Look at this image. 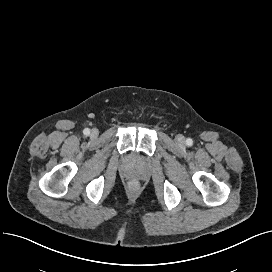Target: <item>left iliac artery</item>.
Segmentation results:
<instances>
[{
    "instance_id": "left-iliac-artery-1",
    "label": "left iliac artery",
    "mask_w": 272,
    "mask_h": 272,
    "mask_svg": "<svg viewBox=\"0 0 272 272\" xmlns=\"http://www.w3.org/2000/svg\"><path fill=\"white\" fill-rule=\"evenodd\" d=\"M186 144H187L188 146H192V145H193V140H192L191 138H188V139L186 140Z\"/></svg>"
}]
</instances>
